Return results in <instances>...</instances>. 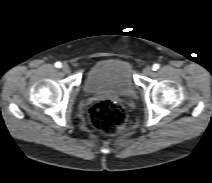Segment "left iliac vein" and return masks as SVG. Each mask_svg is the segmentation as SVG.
Returning <instances> with one entry per match:
<instances>
[{"label": "left iliac vein", "instance_id": "4c4485c4", "mask_svg": "<svg viewBox=\"0 0 212 183\" xmlns=\"http://www.w3.org/2000/svg\"><path fill=\"white\" fill-rule=\"evenodd\" d=\"M153 72V69L149 66L145 67L144 70H143V74L148 76V75H151Z\"/></svg>", "mask_w": 212, "mask_h": 183}]
</instances>
